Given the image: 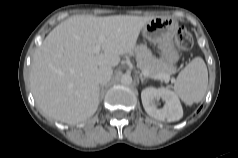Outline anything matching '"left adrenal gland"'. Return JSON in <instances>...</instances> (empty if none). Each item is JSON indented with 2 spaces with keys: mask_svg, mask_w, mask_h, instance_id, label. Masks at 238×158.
I'll return each mask as SVG.
<instances>
[{
  "mask_svg": "<svg viewBox=\"0 0 238 158\" xmlns=\"http://www.w3.org/2000/svg\"><path fill=\"white\" fill-rule=\"evenodd\" d=\"M139 78H140L142 84L144 83L145 80H147V78L144 77V76L142 75V73L139 74Z\"/></svg>",
  "mask_w": 238,
  "mask_h": 158,
  "instance_id": "obj_1",
  "label": "left adrenal gland"
}]
</instances>
